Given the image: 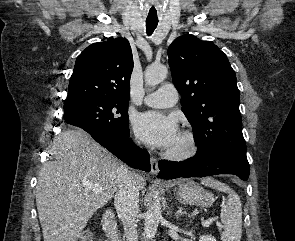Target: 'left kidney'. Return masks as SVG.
<instances>
[{
    "mask_svg": "<svg viewBox=\"0 0 295 241\" xmlns=\"http://www.w3.org/2000/svg\"><path fill=\"white\" fill-rule=\"evenodd\" d=\"M199 241H216V239L211 235H202L200 236Z\"/></svg>",
    "mask_w": 295,
    "mask_h": 241,
    "instance_id": "5707ae66",
    "label": "left kidney"
}]
</instances>
